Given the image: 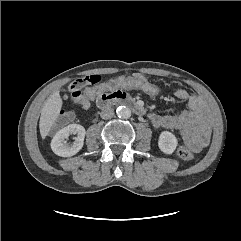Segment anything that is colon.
I'll list each match as a JSON object with an SVG mask.
<instances>
[{
	"label": "colon",
	"mask_w": 241,
	"mask_h": 241,
	"mask_svg": "<svg viewBox=\"0 0 241 241\" xmlns=\"http://www.w3.org/2000/svg\"><path fill=\"white\" fill-rule=\"evenodd\" d=\"M122 90H139L152 98H158L161 95V90L157 85L136 75L119 76L108 81H103L99 75H91L73 82L69 87L71 97L75 100L83 97L92 98L96 94L122 92ZM73 119L72 113L64 112L60 121L62 124H67L72 122ZM177 154L184 161H190L194 157L193 153L184 146L177 149Z\"/></svg>",
	"instance_id": "obj_1"
}]
</instances>
